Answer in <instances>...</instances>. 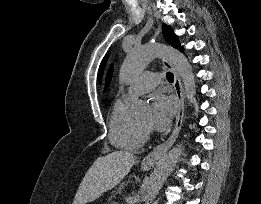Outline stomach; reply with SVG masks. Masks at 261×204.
<instances>
[{
  "label": "stomach",
  "mask_w": 261,
  "mask_h": 204,
  "mask_svg": "<svg viewBox=\"0 0 261 204\" xmlns=\"http://www.w3.org/2000/svg\"><path fill=\"white\" fill-rule=\"evenodd\" d=\"M143 168H144V169H148L149 167H148V166H144Z\"/></svg>",
  "instance_id": "stomach-1"
}]
</instances>
